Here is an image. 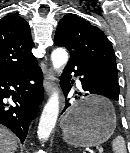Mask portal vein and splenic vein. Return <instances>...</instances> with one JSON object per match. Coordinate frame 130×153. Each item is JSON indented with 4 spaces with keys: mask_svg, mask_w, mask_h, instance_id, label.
<instances>
[{
    "mask_svg": "<svg viewBox=\"0 0 130 153\" xmlns=\"http://www.w3.org/2000/svg\"><path fill=\"white\" fill-rule=\"evenodd\" d=\"M102 152H103V149H102V148H100V149H99V153H102Z\"/></svg>",
    "mask_w": 130,
    "mask_h": 153,
    "instance_id": "portal-vein-and-splenic-vein-1",
    "label": "portal vein and splenic vein"
}]
</instances>
